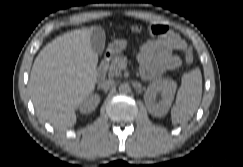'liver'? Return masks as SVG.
<instances>
[{"label":"liver","mask_w":243,"mask_h":167,"mask_svg":"<svg viewBox=\"0 0 243 167\" xmlns=\"http://www.w3.org/2000/svg\"><path fill=\"white\" fill-rule=\"evenodd\" d=\"M91 33L85 28L59 36L34 61L29 86L35 110L57 129L76 123L75 110L94 91L98 58Z\"/></svg>","instance_id":"obj_1"}]
</instances>
